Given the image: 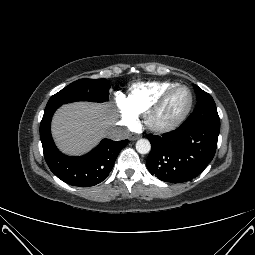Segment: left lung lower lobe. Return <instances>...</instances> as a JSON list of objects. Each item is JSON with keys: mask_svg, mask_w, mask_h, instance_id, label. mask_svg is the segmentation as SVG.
<instances>
[{"mask_svg": "<svg viewBox=\"0 0 255 255\" xmlns=\"http://www.w3.org/2000/svg\"><path fill=\"white\" fill-rule=\"evenodd\" d=\"M219 131L220 123H183L160 136L149 134L148 170L164 182L183 183L197 177L214 157Z\"/></svg>", "mask_w": 255, "mask_h": 255, "instance_id": "left-lung-lower-lobe-1", "label": "left lung lower lobe"}]
</instances>
